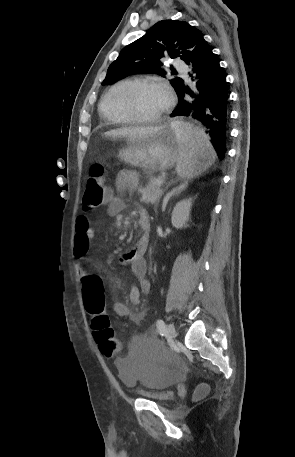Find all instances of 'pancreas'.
<instances>
[{
	"label": "pancreas",
	"instance_id": "obj_1",
	"mask_svg": "<svg viewBox=\"0 0 295 457\" xmlns=\"http://www.w3.org/2000/svg\"><path fill=\"white\" fill-rule=\"evenodd\" d=\"M160 179L161 178H152L144 188H140L138 190V192L141 194V202L153 204L160 200L163 191L156 183Z\"/></svg>",
	"mask_w": 295,
	"mask_h": 457
}]
</instances>
